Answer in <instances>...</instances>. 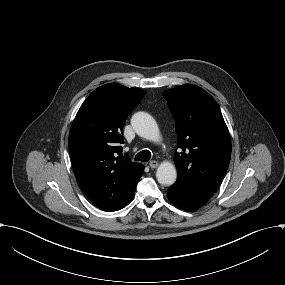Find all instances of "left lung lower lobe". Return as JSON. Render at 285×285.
<instances>
[{
  "label": "left lung lower lobe",
  "instance_id": "obj_1",
  "mask_svg": "<svg viewBox=\"0 0 285 285\" xmlns=\"http://www.w3.org/2000/svg\"><path fill=\"white\" fill-rule=\"evenodd\" d=\"M167 197L178 208L186 211L196 210L209 200L208 196L200 194L179 182L168 189Z\"/></svg>",
  "mask_w": 285,
  "mask_h": 285
}]
</instances>
